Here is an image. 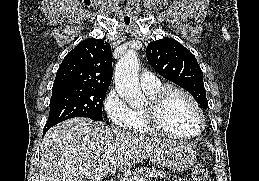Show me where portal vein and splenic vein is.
<instances>
[{
	"instance_id": "18ae733b",
	"label": "portal vein and splenic vein",
	"mask_w": 259,
	"mask_h": 181,
	"mask_svg": "<svg viewBox=\"0 0 259 181\" xmlns=\"http://www.w3.org/2000/svg\"><path fill=\"white\" fill-rule=\"evenodd\" d=\"M103 158H105L107 160L108 156H104ZM117 178H119V177H117ZM119 179H120V181H131L130 178H127V177L126 178L122 177V178H119ZM141 181H143V180H141Z\"/></svg>"
}]
</instances>
